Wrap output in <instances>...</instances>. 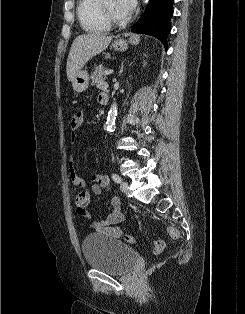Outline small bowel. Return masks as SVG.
Masks as SVG:
<instances>
[{"instance_id": "small-bowel-1", "label": "small bowel", "mask_w": 245, "mask_h": 314, "mask_svg": "<svg viewBox=\"0 0 245 314\" xmlns=\"http://www.w3.org/2000/svg\"><path fill=\"white\" fill-rule=\"evenodd\" d=\"M103 86V85H101ZM101 95V94H100ZM100 95L98 100L101 104L102 101L100 99ZM83 122V111L78 110L76 111L70 121V128H71V142L74 144L77 142V133L76 131L81 126ZM69 176L71 183L79 188H84L86 186L85 179L77 172L73 159L69 163ZM93 183L90 186V192L94 195H100L103 190L110 191L111 190V182L108 176L106 175H93L92 176ZM112 209L109 214L102 221H94L89 225V229L107 236L113 239H119L122 236L123 230L119 223H121L126 216V212L121 208L120 199L116 196H113L110 200ZM81 216L87 219H91L92 215L87 210L84 213H80Z\"/></svg>"}]
</instances>
